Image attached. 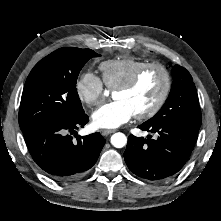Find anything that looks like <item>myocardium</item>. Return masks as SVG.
I'll return each mask as SVG.
<instances>
[{"instance_id": "1", "label": "myocardium", "mask_w": 221, "mask_h": 221, "mask_svg": "<svg viewBox=\"0 0 221 221\" xmlns=\"http://www.w3.org/2000/svg\"><path fill=\"white\" fill-rule=\"evenodd\" d=\"M153 68L158 69L162 73L163 79H164L163 88H162V91H161L158 99L155 101V103L149 109H147L144 112L137 113L134 115L135 118L139 119V120H145V119H149V118L153 117L161 110V108L166 103V101L170 95L171 89H172V76H171V73L168 70V68L159 62L145 63L139 69H137L128 80H126L124 83H122L121 85L117 86L114 89V92L130 90L139 82L141 77L148 70L153 69Z\"/></svg>"}]
</instances>
